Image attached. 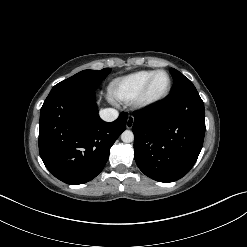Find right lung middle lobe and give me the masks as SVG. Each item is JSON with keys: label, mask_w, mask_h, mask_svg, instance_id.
Instances as JSON below:
<instances>
[{"label": "right lung middle lobe", "mask_w": 247, "mask_h": 247, "mask_svg": "<svg viewBox=\"0 0 247 247\" xmlns=\"http://www.w3.org/2000/svg\"><path fill=\"white\" fill-rule=\"evenodd\" d=\"M111 72L110 68H104L100 71L83 70L74 76L61 81L55 85L51 92L58 90H91L95 91L101 81Z\"/></svg>", "instance_id": "right-lung-middle-lobe-1"}]
</instances>
